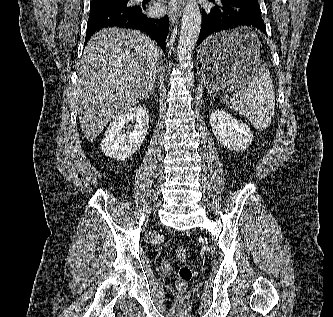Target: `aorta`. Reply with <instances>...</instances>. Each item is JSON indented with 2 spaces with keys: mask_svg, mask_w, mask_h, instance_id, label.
<instances>
[{
  "mask_svg": "<svg viewBox=\"0 0 333 317\" xmlns=\"http://www.w3.org/2000/svg\"><path fill=\"white\" fill-rule=\"evenodd\" d=\"M201 29V11L196 0H188L180 30L178 59L187 87L194 86L193 51Z\"/></svg>",
  "mask_w": 333,
  "mask_h": 317,
  "instance_id": "obj_1",
  "label": "aorta"
}]
</instances>
